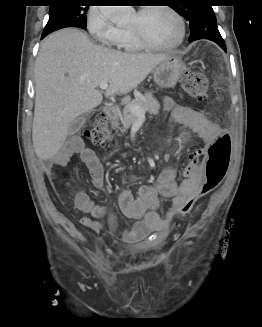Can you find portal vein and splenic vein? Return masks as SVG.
Returning <instances> with one entry per match:
<instances>
[{"instance_id":"portal-vein-and-splenic-vein-1","label":"portal vein and splenic vein","mask_w":262,"mask_h":327,"mask_svg":"<svg viewBox=\"0 0 262 327\" xmlns=\"http://www.w3.org/2000/svg\"><path fill=\"white\" fill-rule=\"evenodd\" d=\"M100 89L105 90L108 88V83L107 82H102L99 84ZM131 112L136 114L139 117H144L145 116V111L143 108L137 105H132L131 106Z\"/></svg>"}]
</instances>
